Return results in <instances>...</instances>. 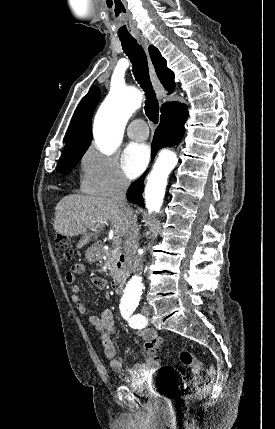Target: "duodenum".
<instances>
[{
	"label": "duodenum",
	"mask_w": 275,
	"mask_h": 429,
	"mask_svg": "<svg viewBox=\"0 0 275 429\" xmlns=\"http://www.w3.org/2000/svg\"><path fill=\"white\" fill-rule=\"evenodd\" d=\"M97 250L100 255L104 253V248L102 245H98ZM124 284H125V278L123 275H120L117 278H115L112 282V288L114 292H116L117 294H120L123 291Z\"/></svg>",
	"instance_id": "1"
}]
</instances>
